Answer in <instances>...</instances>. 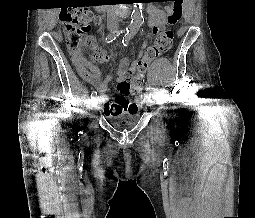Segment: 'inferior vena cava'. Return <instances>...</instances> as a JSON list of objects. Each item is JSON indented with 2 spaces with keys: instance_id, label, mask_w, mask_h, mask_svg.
Instances as JSON below:
<instances>
[{
  "instance_id": "1",
  "label": "inferior vena cava",
  "mask_w": 255,
  "mask_h": 218,
  "mask_svg": "<svg viewBox=\"0 0 255 218\" xmlns=\"http://www.w3.org/2000/svg\"><path fill=\"white\" fill-rule=\"evenodd\" d=\"M118 21H119V19H118V16L117 15H110L109 17H108V23H107V25H108V28H117L118 27Z\"/></svg>"
}]
</instances>
